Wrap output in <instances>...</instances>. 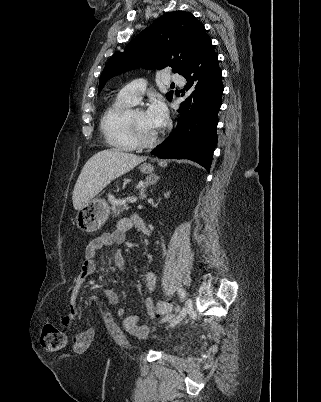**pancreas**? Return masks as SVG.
<instances>
[{
	"instance_id": "1",
	"label": "pancreas",
	"mask_w": 321,
	"mask_h": 402,
	"mask_svg": "<svg viewBox=\"0 0 321 402\" xmlns=\"http://www.w3.org/2000/svg\"><path fill=\"white\" fill-rule=\"evenodd\" d=\"M110 203L112 205V216L115 218H118L121 216V214L125 211L128 210V204L127 202L129 201V198H125L122 200H117L115 198H110Z\"/></svg>"
}]
</instances>
